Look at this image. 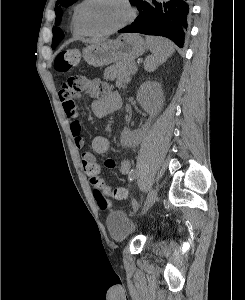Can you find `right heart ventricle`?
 Instances as JSON below:
<instances>
[{"label": "right heart ventricle", "mask_w": 245, "mask_h": 300, "mask_svg": "<svg viewBox=\"0 0 245 300\" xmlns=\"http://www.w3.org/2000/svg\"><path fill=\"white\" fill-rule=\"evenodd\" d=\"M81 5V2L78 3L74 8H73V12H72V17H71V28L72 31L77 34V35H84L83 31L81 30V28L79 27L77 20H76V15H77V10L79 8V6Z\"/></svg>", "instance_id": "right-heart-ventricle-1"}]
</instances>
